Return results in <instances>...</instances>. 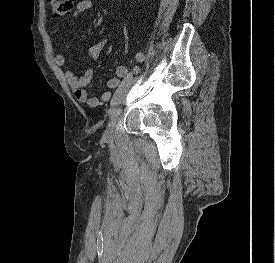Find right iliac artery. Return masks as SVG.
I'll use <instances>...</instances> for the list:
<instances>
[{"mask_svg":"<svg viewBox=\"0 0 275 263\" xmlns=\"http://www.w3.org/2000/svg\"><path fill=\"white\" fill-rule=\"evenodd\" d=\"M145 59V56L142 54V53H138L136 55V61L137 62H142L143 60ZM133 78V73L130 72L125 78L124 80L122 81V84L119 86V88L116 90L115 94H114V97L112 99V101L118 97L121 92L130 84L131 80Z\"/></svg>","mask_w":275,"mask_h":263,"instance_id":"1","label":"right iliac artery"}]
</instances>
